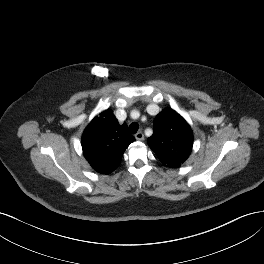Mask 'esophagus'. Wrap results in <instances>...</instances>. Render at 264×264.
<instances>
[{"label":"esophagus","mask_w":264,"mask_h":264,"mask_svg":"<svg viewBox=\"0 0 264 264\" xmlns=\"http://www.w3.org/2000/svg\"><path fill=\"white\" fill-rule=\"evenodd\" d=\"M135 138H136V140H138V141H142V140H144V135H143V133H142L141 131H139V132H137V133L135 134Z\"/></svg>","instance_id":"obj_1"}]
</instances>
